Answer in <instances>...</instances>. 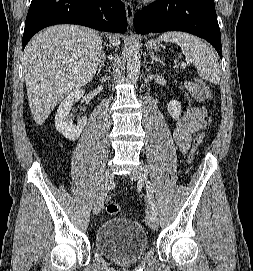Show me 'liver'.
Returning <instances> with one entry per match:
<instances>
[{
  "instance_id": "6515ba94",
  "label": "liver",
  "mask_w": 253,
  "mask_h": 271,
  "mask_svg": "<svg viewBox=\"0 0 253 271\" xmlns=\"http://www.w3.org/2000/svg\"><path fill=\"white\" fill-rule=\"evenodd\" d=\"M115 46L117 36L109 38ZM102 40L79 25H55L39 32L24 51V73L34 121L42 125L65 96L89 83L98 67Z\"/></svg>"
}]
</instances>
